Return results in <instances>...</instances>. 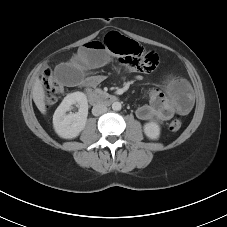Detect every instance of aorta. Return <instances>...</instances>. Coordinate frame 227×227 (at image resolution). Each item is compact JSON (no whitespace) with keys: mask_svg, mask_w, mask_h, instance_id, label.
Segmentation results:
<instances>
[{"mask_svg":"<svg viewBox=\"0 0 227 227\" xmlns=\"http://www.w3.org/2000/svg\"><path fill=\"white\" fill-rule=\"evenodd\" d=\"M112 109H113L114 111H119V110H121V103H120V102H114V103L112 104Z\"/></svg>","mask_w":227,"mask_h":227,"instance_id":"1","label":"aorta"}]
</instances>
